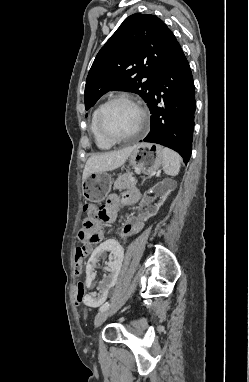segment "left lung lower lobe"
Wrapping results in <instances>:
<instances>
[{
    "mask_svg": "<svg viewBox=\"0 0 249 382\" xmlns=\"http://www.w3.org/2000/svg\"><path fill=\"white\" fill-rule=\"evenodd\" d=\"M195 104L191 69L177 43L147 104L151 113V130L142 141L169 147L187 163L192 151Z\"/></svg>",
    "mask_w": 249,
    "mask_h": 382,
    "instance_id": "1",
    "label": "left lung lower lobe"
}]
</instances>
